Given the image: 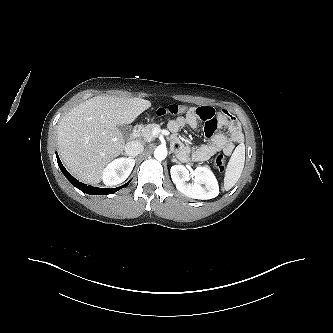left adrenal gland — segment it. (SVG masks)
I'll return each instance as SVG.
<instances>
[{"label":"left adrenal gland","instance_id":"a2214340","mask_svg":"<svg viewBox=\"0 0 333 333\" xmlns=\"http://www.w3.org/2000/svg\"><path fill=\"white\" fill-rule=\"evenodd\" d=\"M172 161H173V162H176V163H180V162L176 159L175 156H173Z\"/></svg>","mask_w":333,"mask_h":333}]
</instances>
